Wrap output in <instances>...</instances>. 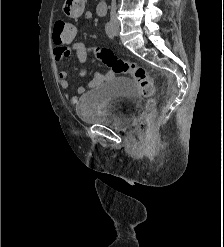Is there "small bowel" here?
I'll use <instances>...</instances> for the list:
<instances>
[{
	"mask_svg": "<svg viewBox=\"0 0 224 247\" xmlns=\"http://www.w3.org/2000/svg\"><path fill=\"white\" fill-rule=\"evenodd\" d=\"M64 13L71 18H79L84 17L85 19H91L93 17V13L91 11L84 10V0H65L63 5ZM54 50L53 56L54 59L59 62L69 56L70 51L74 50L80 54L85 50V46L81 42H60L54 40ZM111 73H108V76H111ZM58 82L59 86L62 89H67L69 86V82L67 80V72L61 70L58 72ZM66 98L70 103H76L77 98L70 94H66Z\"/></svg>",
	"mask_w": 224,
	"mask_h": 247,
	"instance_id": "small-bowel-1",
	"label": "small bowel"
}]
</instances>
